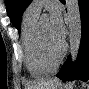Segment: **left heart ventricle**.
<instances>
[{
  "mask_svg": "<svg viewBox=\"0 0 89 89\" xmlns=\"http://www.w3.org/2000/svg\"><path fill=\"white\" fill-rule=\"evenodd\" d=\"M41 30H42V37L44 43L47 47V50L52 54L55 55L58 53L59 49L61 48L62 43L55 40L51 34L50 30V22L44 21L40 23Z\"/></svg>",
  "mask_w": 89,
  "mask_h": 89,
  "instance_id": "obj_1",
  "label": "left heart ventricle"
}]
</instances>
